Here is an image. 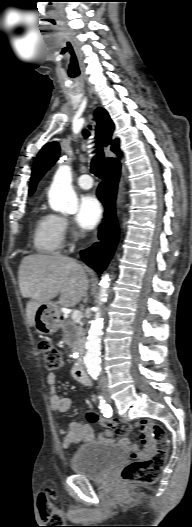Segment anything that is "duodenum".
Listing matches in <instances>:
<instances>
[{
  "label": "duodenum",
  "instance_id": "duodenum-1",
  "mask_svg": "<svg viewBox=\"0 0 192 527\" xmlns=\"http://www.w3.org/2000/svg\"><path fill=\"white\" fill-rule=\"evenodd\" d=\"M74 373H75L76 378H77L81 383H83V384H85V385H90V384H91V380H90L89 376L87 375L86 370H85L83 364H78V365L75 367Z\"/></svg>",
  "mask_w": 192,
  "mask_h": 527
}]
</instances>
